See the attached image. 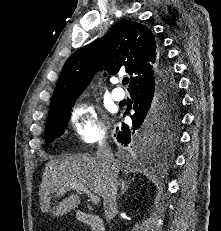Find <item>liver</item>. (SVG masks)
<instances>
[{
  "mask_svg": "<svg viewBox=\"0 0 221 231\" xmlns=\"http://www.w3.org/2000/svg\"><path fill=\"white\" fill-rule=\"evenodd\" d=\"M72 186L89 188L94 194L104 198L105 172L96 157L89 154H64L51 160L45 167L40 184V208L44 213L59 217L75 210L81 203L78 194H71L56 206L51 207V198L58 191L64 194ZM63 189V192H60Z\"/></svg>",
  "mask_w": 221,
  "mask_h": 231,
  "instance_id": "6515ba94",
  "label": "liver"
}]
</instances>
